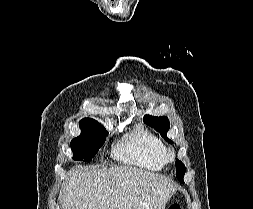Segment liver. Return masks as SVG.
<instances>
[{"mask_svg":"<svg viewBox=\"0 0 253 209\" xmlns=\"http://www.w3.org/2000/svg\"><path fill=\"white\" fill-rule=\"evenodd\" d=\"M176 188L169 178L132 166H74L60 199L63 209H165Z\"/></svg>","mask_w":253,"mask_h":209,"instance_id":"1","label":"liver"}]
</instances>
